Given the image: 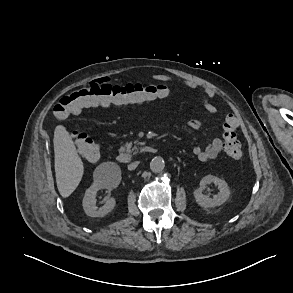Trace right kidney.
<instances>
[{"instance_id": "obj_1", "label": "right kidney", "mask_w": 293, "mask_h": 293, "mask_svg": "<svg viewBox=\"0 0 293 293\" xmlns=\"http://www.w3.org/2000/svg\"><path fill=\"white\" fill-rule=\"evenodd\" d=\"M107 166L111 171L116 173L117 177L115 180H109L107 177H97L93 184L86 190L82 205L85 213L90 217H104L106 214L111 212L116 205L115 199L109 198L103 206L99 208L96 206L97 191L103 188L111 190L117 187L119 183V167L114 164H107Z\"/></svg>"}]
</instances>
